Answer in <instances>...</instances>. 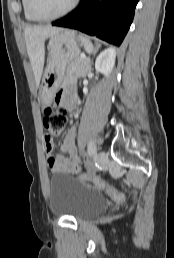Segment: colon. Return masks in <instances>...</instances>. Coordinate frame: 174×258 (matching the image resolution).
Here are the masks:
<instances>
[{
    "label": "colon",
    "instance_id": "5ec220e1",
    "mask_svg": "<svg viewBox=\"0 0 174 258\" xmlns=\"http://www.w3.org/2000/svg\"><path fill=\"white\" fill-rule=\"evenodd\" d=\"M43 121L47 134L51 138L59 137L66 127L67 115L65 108H46ZM78 180L105 192L115 201L122 202L126 199V196L123 193L119 192L99 177L81 174L78 176Z\"/></svg>",
    "mask_w": 174,
    "mask_h": 258
}]
</instances>
